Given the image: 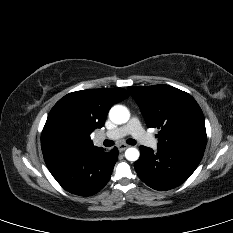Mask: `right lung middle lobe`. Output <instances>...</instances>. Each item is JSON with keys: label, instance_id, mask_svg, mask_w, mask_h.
Returning a JSON list of instances; mask_svg holds the SVG:
<instances>
[{"label": "right lung middle lobe", "instance_id": "obj_1", "mask_svg": "<svg viewBox=\"0 0 233 233\" xmlns=\"http://www.w3.org/2000/svg\"><path fill=\"white\" fill-rule=\"evenodd\" d=\"M66 139V133L61 130H57L52 134L50 138V144L54 147H59L66 142Z\"/></svg>", "mask_w": 233, "mask_h": 233}]
</instances>
